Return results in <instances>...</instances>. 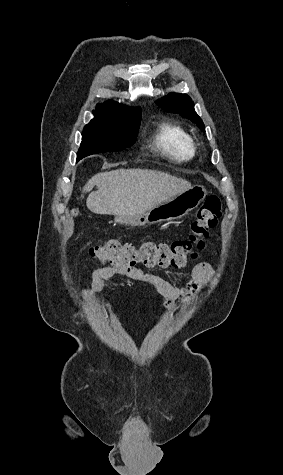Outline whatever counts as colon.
I'll use <instances>...</instances> for the list:
<instances>
[{"instance_id":"5ec220e1","label":"colon","mask_w":283,"mask_h":475,"mask_svg":"<svg viewBox=\"0 0 283 475\" xmlns=\"http://www.w3.org/2000/svg\"><path fill=\"white\" fill-rule=\"evenodd\" d=\"M222 216L221 200L209 196L201 205L192 221L188 237L175 242H144L136 247L132 242L111 241L92 251V257L101 263H113L124 269H132L137 264L147 267H183L189 260L197 258L206 247L205 238Z\"/></svg>"}]
</instances>
